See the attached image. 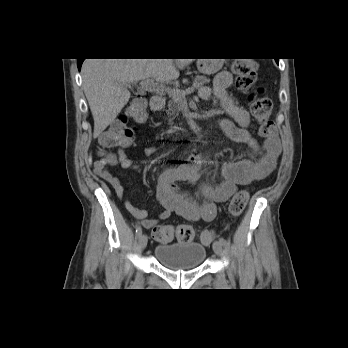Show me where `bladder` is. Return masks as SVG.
Instances as JSON below:
<instances>
[{
    "instance_id": "1",
    "label": "bladder",
    "mask_w": 348,
    "mask_h": 348,
    "mask_svg": "<svg viewBox=\"0 0 348 348\" xmlns=\"http://www.w3.org/2000/svg\"><path fill=\"white\" fill-rule=\"evenodd\" d=\"M157 261L171 270L185 271L200 266L206 256V249L197 242H174L155 247Z\"/></svg>"
}]
</instances>
